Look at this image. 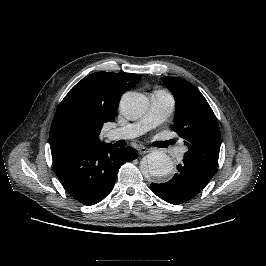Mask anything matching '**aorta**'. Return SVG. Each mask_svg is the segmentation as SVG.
<instances>
[{
	"label": "aorta",
	"instance_id": "762f6f07",
	"mask_svg": "<svg viewBox=\"0 0 266 266\" xmlns=\"http://www.w3.org/2000/svg\"><path fill=\"white\" fill-rule=\"evenodd\" d=\"M120 107L125 115L138 118L147 111L149 101L143 94L127 92L121 98ZM173 167L174 165L169 155L159 150L149 153L141 165L143 173L152 177L166 176L173 170Z\"/></svg>",
	"mask_w": 266,
	"mask_h": 266
}]
</instances>
